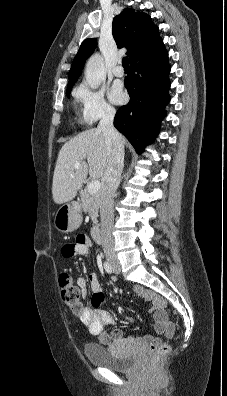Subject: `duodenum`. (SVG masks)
<instances>
[{"instance_id": "410a0bca", "label": "duodenum", "mask_w": 227, "mask_h": 396, "mask_svg": "<svg viewBox=\"0 0 227 396\" xmlns=\"http://www.w3.org/2000/svg\"><path fill=\"white\" fill-rule=\"evenodd\" d=\"M75 206H78V203L75 204ZM91 234H92V237H93L95 242H97V243H101L102 242L103 238H102V231H101L100 226L95 225L92 228Z\"/></svg>"}]
</instances>
